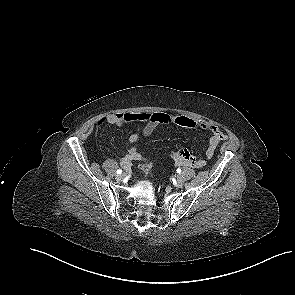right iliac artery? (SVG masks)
<instances>
[{
    "label": "right iliac artery",
    "instance_id": "obj_1",
    "mask_svg": "<svg viewBox=\"0 0 295 295\" xmlns=\"http://www.w3.org/2000/svg\"><path fill=\"white\" fill-rule=\"evenodd\" d=\"M116 173L120 175L122 173V170L118 169Z\"/></svg>",
    "mask_w": 295,
    "mask_h": 295
}]
</instances>
